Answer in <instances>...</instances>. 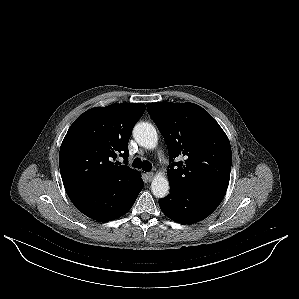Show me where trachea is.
I'll list each match as a JSON object with an SVG mask.
<instances>
[{
    "mask_svg": "<svg viewBox=\"0 0 299 299\" xmlns=\"http://www.w3.org/2000/svg\"><path fill=\"white\" fill-rule=\"evenodd\" d=\"M135 168H142V170L149 172L152 169V164L149 161H142L140 158H136L132 164Z\"/></svg>",
    "mask_w": 299,
    "mask_h": 299,
    "instance_id": "3493384b",
    "label": "trachea"
}]
</instances>
